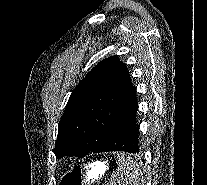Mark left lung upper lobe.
<instances>
[{
	"label": "left lung upper lobe",
	"mask_w": 207,
	"mask_h": 185,
	"mask_svg": "<svg viewBox=\"0 0 207 185\" xmlns=\"http://www.w3.org/2000/svg\"><path fill=\"white\" fill-rule=\"evenodd\" d=\"M136 102L127 66L118 56L102 60L69 97L58 126L55 156L102 152L114 126Z\"/></svg>",
	"instance_id": "5c2ea615"
}]
</instances>
